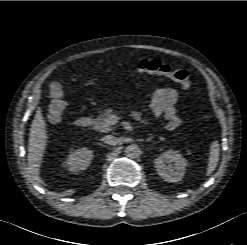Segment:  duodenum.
<instances>
[{"mask_svg":"<svg viewBox=\"0 0 247 245\" xmlns=\"http://www.w3.org/2000/svg\"><path fill=\"white\" fill-rule=\"evenodd\" d=\"M91 124V119L89 117H86V116H82V117H79L76 122H75V125L78 127V128H86L88 127L89 125Z\"/></svg>","mask_w":247,"mask_h":245,"instance_id":"410a0bca","label":"duodenum"}]
</instances>
